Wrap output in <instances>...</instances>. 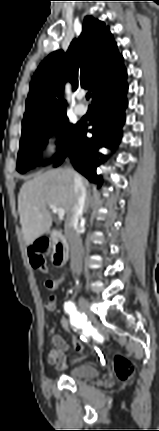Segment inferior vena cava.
<instances>
[{"mask_svg":"<svg viewBox=\"0 0 159 431\" xmlns=\"http://www.w3.org/2000/svg\"><path fill=\"white\" fill-rule=\"evenodd\" d=\"M73 173L74 193L76 202L73 206V214L65 224V234L70 245V252L72 258V268L75 272L80 273L81 267L79 262L83 255V245L79 233V219L83 214L86 200V189L82 182L81 177L71 169H67Z\"/></svg>","mask_w":159,"mask_h":431,"instance_id":"602c4592","label":"inferior vena cava"}]
</instances>
